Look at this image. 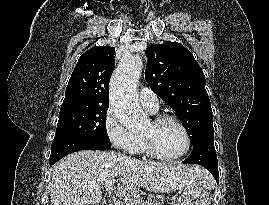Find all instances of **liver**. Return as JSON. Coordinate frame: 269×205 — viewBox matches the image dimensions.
<instances>
[{
    "mask_svg": "<svg viewBox=\"0 0 269 205\" xmlns=\"http://www.w3.org/2000/svg\"><path fill=\"white\" fill-rule=\"evenodd\" d=\"M120 176L117 190L143 187L165 193L192 183L207 188L209 173L199 166L160 164L136 160L115 151L83 150L56 163L51 173V205H94L102 199V188Z\"/></svg>",
    "mask_w": 269,
    "mask_h": 205,
    "instance_id": "6515ba94",
    "label": "liver"
}]
</instances>
